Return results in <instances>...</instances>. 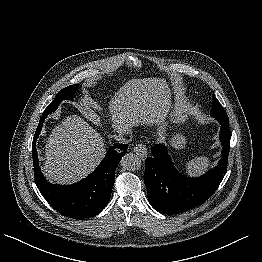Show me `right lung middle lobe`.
<instances>
[{"label":"right lung middle lobe","mask_w":262,"mask_h":262,"mask_svg":"<svg viewBox=\"0 0 262 262\" xmlns=\"http://www.w3.org/2000/svg\"><path fill=\"white\" fill-rule=\"evenodd\" d=\"M78 87H79L78 84H74L59 91L53 102H51V104L45 109L43 113L48 115L57 109L59 103L62 100L72 99Z\"/></svg>","instance_id":"right-lung-middle-lobe-1"}]
</instances>
